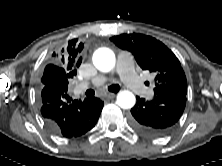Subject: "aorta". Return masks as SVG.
<instances>
[{
	"label": "aorta",
	"mask_w": 222,
	"mask_h": 166,
	"mask_svg": "<svg viewBox=\"0 0 222 166\" xmlns=\"http://www.w3.org/2000/svg\"><path fill=\"white\" fill-rule=\"evenodd\" d=\"M94 66L102 71L109 72L113 69L115 65V54L109 48H99L95 51L93 55ZM136 98L134 94L130 91L124 90L117 95V104L122 109H130L135 105Z\"/></svg>",
	"instance_id": "1"
}]
</instances>
